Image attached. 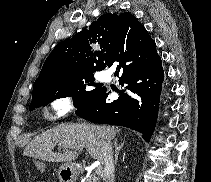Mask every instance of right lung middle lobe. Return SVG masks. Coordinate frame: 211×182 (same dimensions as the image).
<instances>
[{
    "label": "right lung middle lobe",
    "instance_id": "obj_1",
    "mask_svg": "<svg viewBox=\"0 0 211 182\" xmlns=\"http://www.w3.org/2000/svg\"><path fill=\"white\" fill-rule=\"evenodd\" d=\"M94 81L93 73H90L76 79L45 85L33 92L29 110L46 106L55 99L70 96L73 97L74 106L78 108L99 90V88L92 89V86L99 87Z\"/></svg>",
    "mask_w": 211,
    "mask_h": 182
}]
</instances>
